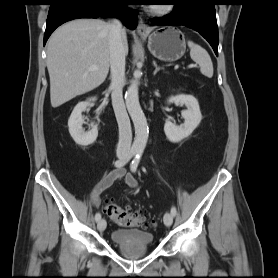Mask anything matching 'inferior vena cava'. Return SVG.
I'll return each mask as SVG.
<instances>
[{"label": "inferior vena cava", "instance_id": "1", "mask_svg": "<svg viewBox=\"0 0 278 278\" xmlns=\"http://www.w3.org/2000/svg\"><path fill=\"white\" fill-rule=\"evenodd\" d=\"M109 29L111 68V84L109 88L112 92V105L119 127L117 152L129 154L132 143V130L122 94L125 82V50L122 39V24L116 19L109 24Z\"/></svg>", "mask_w": 278, "mask_h": 278}]
</instances>
